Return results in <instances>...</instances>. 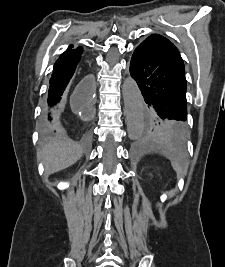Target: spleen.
I'll return each mask as SVG.
<instances>
[{
    "instance_id": "1",
    "label": "spleen",
    "mask_w": 225,
    "mask_h": 267,
    "mask_svg": "<svg viewBox=\"0 0 225 267\" xmlns=\"http://www.w3.org/2000/svg\"><path fill=\"white\" fill-rule=\"evenodd\" d=\"M171 165L177 174H179L180 176L186 175L187 170L179 162L172 161Z\"/></svg>"
}]
</instances>
